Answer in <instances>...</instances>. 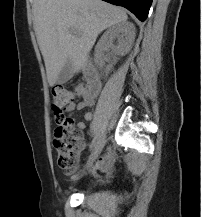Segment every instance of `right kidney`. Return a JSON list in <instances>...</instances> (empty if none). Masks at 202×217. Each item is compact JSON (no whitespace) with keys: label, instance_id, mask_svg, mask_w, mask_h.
<instances>
[{"label":"right kidney","instance_id":"1","mask_svg":"<svg viewBox=\"0 0 202 217\" xmlns=\"http://www.w3.org/2000/svg\"><path fill=\"white\" fill-rule=\"evenodd\" d=\"M117 39L118 43L113 44V41ZM135 39V27L132 23L122 22L114 24L107 29L102 35L95 48L96 63L103 68L104 61L102 59L103 51L106 47H111L115 55L124 56L126 55L134 42Z\"/></svg>","mask_w":202,"mask_h":217}]
</instances>
